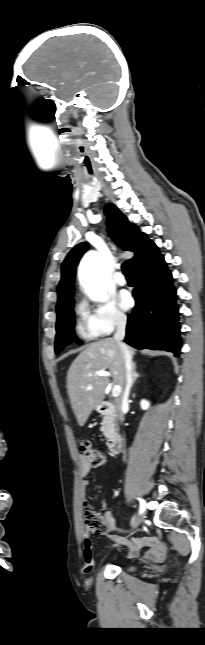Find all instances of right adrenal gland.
<instances>
[{
	"mask_svg": "<svg viewBox=\"0 0 205 645\" xmlns=\"http://www.w3.org/2000/svg\"><path fill=\"white\" fill-rule=\"evenodd\" d=\"M132 374H133V381H132V387H133V386H134L135 381L137 380V378H139V377H140V374H138V373L136 372V363H135V362L132 364Z\"/></svg>",
	"mask_w": 205,
	"mask_h": 645,
	"instance_id": "obj_1",
	"label": "right adrenal gland"
}]
</instances>
